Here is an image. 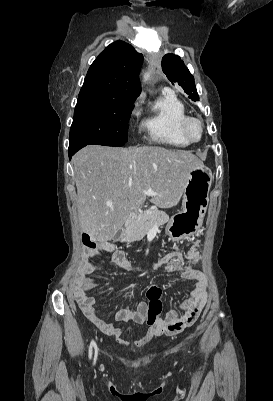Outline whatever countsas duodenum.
<instances>
[{
    "label": "duodenum",
    "instance_id": "duodenum-1",
    "mask_svg": "<svg viewBox=\"0 0 273 401\" xmlns=\"http://www.w3.org/2000/svg\"><path fill=\"white\" fill-rule=\"evenodd\" d=\"M136 217V213H131L127 218V225H130L136 219Z\"/></svg>",
    "mask_w": 273,
    "mask_h": 401
}]
</instances>
